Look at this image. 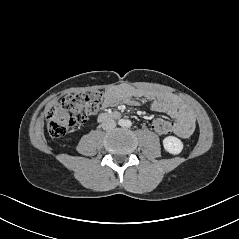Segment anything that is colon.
<instances>
[{
	"label": "colon",
	"mask_w": 239,
	"mask_h": 239,
	"mask_svg": "<svg viewBox=\"0 0 239 239\" xmlns=\"http://www.w3.org/2000/svg\"><path fill=\"white\" fill-rule=\"evenodd\" d=\"M100 91H85L68 94L47 114V129L52 137L59 138L76 126L84 124L89 115L101 106ZM152 130L157 135H166L171 130V121L166 116H157L152 121Z\"/></svg>",
	"instance_id": "1"
}]
</instances>
